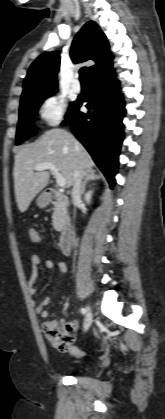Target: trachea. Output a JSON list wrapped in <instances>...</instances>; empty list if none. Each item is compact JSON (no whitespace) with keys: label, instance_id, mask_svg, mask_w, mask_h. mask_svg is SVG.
<instances>
[{"label":"trachea","instance_id":"trachea-1","mask_svg":"<svg viewBox=\"0 0 165 419\" xmlns=\"http://www.w3.org/2000/svg\"><path fill=\"white\" fill-rule=\"evenodd\" d=\"M80 81L81 82H87V73H88V70H87V68L86 67H82L81 69H80Z\"/></svg>","mask_w":165,"mask_h":419}]
</instances>
